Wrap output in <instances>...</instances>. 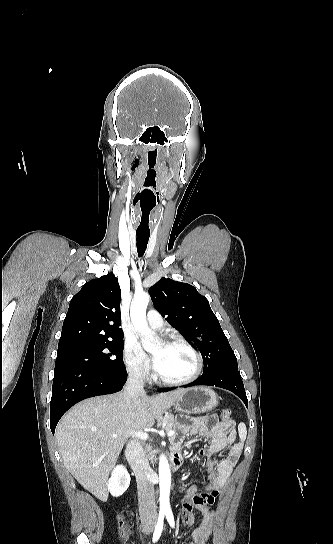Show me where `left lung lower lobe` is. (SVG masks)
<instances>
[{
    "label": "left lung lower lobe",
    "instance_id": "left-lung-lower-lobe-1",
    "mask_svg": "<svg viewBox=\"0 0 333 544\" xmlns=\"http://www.w3.org/2000/svg\"><path fill=\"white\" fill-rule=\"evenodd\" d=\"M197 385L217 386L232 391L248 407L247 396L238 368L227 366L214 369L207 374H202L200 378L185 387ZM173 389L175 388H164L159 390V392H166Z\"/></svg>",
    "mask_w": 333,
    "mask_h": 544
}]
</instances>
